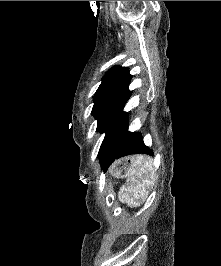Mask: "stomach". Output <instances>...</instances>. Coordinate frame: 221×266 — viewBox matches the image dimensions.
I'll return each instance as SVG.
<instances>
[{"instance_id": "1", "label": "stomach", "mask_w": 221, "mask_h": 266, "mask_svg": "<svg viewBox=\"0 0 221 266\" xmlns=\"http://www.w3.org/2000/svg\"><path fill=\"white\" fill-rule=\"evenodd\" d=\"M132 165L128 163V160H120L114 163L110 169V172L116 178H125L132 172Z\"/></svg>"}]
</instances>
